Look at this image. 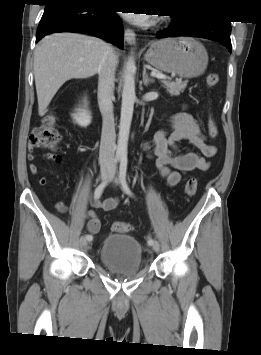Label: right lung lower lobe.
Listing matches in <instances>:
<instances>
[{
	"mask_svg": "<svg viewBox=\"0 0 261 355\" xmlns=\"http://www.w3.org/2000/svg\"><path fill=\"white\" fill-rule=\"evenodd\" d=\"M36 42L49 33L78 32L106 39L123 48V25L114 11L89 0H45Z\"/></svg>",
	"mask_w": 261,
	"mask_h": 355,
	"instance_id": "right-lung-lower-lobe-1",
	"label": "right lung lower lobe"
}]
</instances>
